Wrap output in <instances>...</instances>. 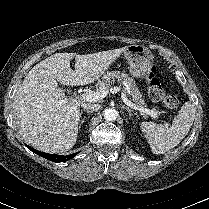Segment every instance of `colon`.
<instances>
[{
  "label": "colon",
  "mask_w": 209,
  "mask_h": 209,
  "mask_svg": "<svg viewBox=\"0 0 209 209\" xmlns=\"http://www.w3.org/2000/svg\"><path fill=\"white\" fill-rule=\"evenodd\" d=\"M146 87L148 94L153 101L160 102L168 109H175L179 105L177 97L168 94L162 87L160 80L155 75V67L151 68V72L146 78Z\"/></svg>",
  "instance_id": "1"
}]
</instances>
